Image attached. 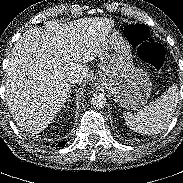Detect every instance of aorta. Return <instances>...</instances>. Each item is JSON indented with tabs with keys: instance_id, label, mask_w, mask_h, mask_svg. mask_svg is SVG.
<instances>
[{
	"instance_id": "obj_1",
	"label": "aorta",
	"mask_w": 183,
	"mask_h": 183,
	"mask_svg": "<svg viewBox=\"0 0 183 183\" xmlns=\"http://www.w3.org/2000/svg\"><path fill=\"white\" fill-rule=\"evenodd\" d=\"M91 104L94 108L101 109L106 105V97L103 94H94L91 98Z\"/></svg>"
}]
</instances>
